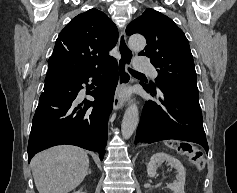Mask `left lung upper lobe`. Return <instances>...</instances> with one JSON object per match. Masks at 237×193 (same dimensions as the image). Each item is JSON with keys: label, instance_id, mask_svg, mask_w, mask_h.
Listing matches in <instances>:
<instances>
[{"label": "left lung upper lobe", "instance_id": "5c2ea615", "mask_svg": "<svg viewBox=\"0 0 237 193\" xmlns=\"http://www.w3.org/2000/svg\"><path fill=\"white\" fill-rule=\"evenodd\" d=\"M126 33L145 36L147 46L139 55L149 57L157 68L156 84L159 89L177 87L197 90L196 71L188 40L169 17L154 9H146L127 26ZM149 86L155 89L152 82Z\"/></svg>", "mask_w": 237, "mask_h": 193}]
</instances>
